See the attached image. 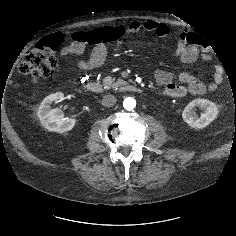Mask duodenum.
I'll list each match as a JSON object with an SVG mask.
<instances>
[{
    "instance_id": "410a0bca",
    "label": "duodenum",
    "mask_w": 236,
    "mask_h": 236,
    "mask_svg": "<svg viewBox=\"0 0 236 236\" xmlns=\"http://www.w3.org/2000/svg\"><path fill=\"white\" fill-rule=\"evenodd\" d=\"M85 88L87 91L95 94L102 93L104 90L103 85L97 81L88 82ZM121 90L125 92H134V93L141 92V88L133 84H125L121 87Z\"/></svg>"
}]
</instances>
